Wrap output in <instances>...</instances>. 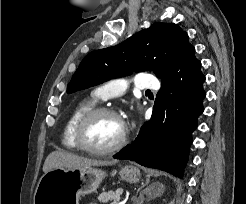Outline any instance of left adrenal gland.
<instances>
[{"label": "left adrenal gland", "mask_w": 246, "mask_h": 204, "mask_svg": "<svg viewBox=\"0 0 246 204\" xmlns=\"http://www.w3.org/2000/svg\"><path fill=\"white\" fill-rule=\"evenodd\" d=\"M144 193H146V190H143L141 193H140V200L139 201H137V204H142L143 203V201H144ZM134 200H135V198H134Z\"/></svg>", "instance_id": "left-adrenal-gland-1"}]
</instances>
